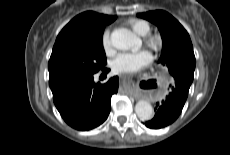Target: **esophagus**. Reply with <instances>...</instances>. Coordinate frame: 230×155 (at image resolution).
I'll list each match as a JSON object with an SVG mask.
<instances>
[{"label": "esophagus", "mask_w": 230, "mask_h": 155, "mask_svg": "<svg viewBox=\"0 0 230 155\" xmlns=\"http://www.w3.org/2000/svg\"><path fill=\"white\" fill-rule=\"evenodd\" d=\"M121 80H122V82L130 83L129 81H127L126 76H121Z\"/></svg>", "instance_id": "34e87169"}]
</instances>
